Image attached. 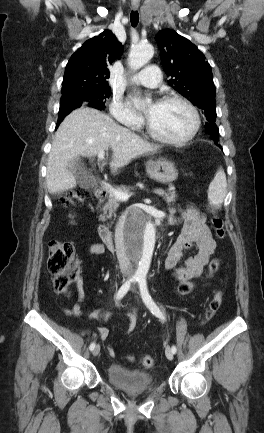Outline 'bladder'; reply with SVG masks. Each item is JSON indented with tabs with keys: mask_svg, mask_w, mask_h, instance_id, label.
<instances>
[{
	"mask_svg": "<svg viewBox=\"0 0 264 433\" xmlns=\"http://www.w3.org/2000/svg\"><path fill=\"white\" fill-rule=\"evenodd\" d=\"M106 375L112 385L128 392H149L155 384L150 372L115 364L107 368Z\"/></svg>",
	"mask_w": 264,
	"mask_h": 433,
	"instance_id": "bladder-1",
	"label": "bladder"
}]
</instances>
